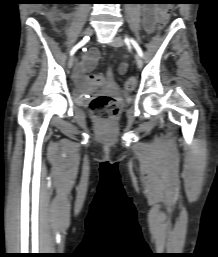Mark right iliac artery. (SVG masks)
<instances>
[{
	"label": "right iliac artery",
	"mask_w": 218,
	"mask_h": 257,
	"mask_svg": "<svg viewBox=\"0 0 218 257\" xmlns=\"http://www.w3.org/2000/svg\"><path fill=\"white\" fill-rule=\"evenodd\" d=\"M89 40V37L86 36L82 41H80L76 46H74L70 52V55L72 56L81 46H83L87 41Z\"/></svg>",
	"instance_id": "obj_1"
}]
</instances>
